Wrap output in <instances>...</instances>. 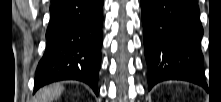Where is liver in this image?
Returning a JSON list of instances; mask_svg holds the SVG:
<instances>
[{
	"instance_id": "liver-1",
	"label": "liver",
	"mask_w": 221,
	"mask_h": 102,
	"mask_svg": "<svg viewBox=\"0 0 221 102\" xmlns=\"http://www.w3.org/2000/svg\"><path fill=\"white\" fill-rule=\"evenodd\" d=\"M64 87L60 84H52L41 88L35 95V102H53L63 92Z\"/></svg>"
}]
</instances>
